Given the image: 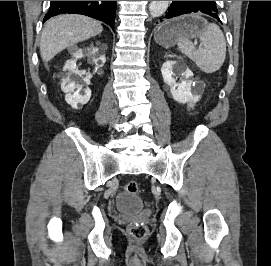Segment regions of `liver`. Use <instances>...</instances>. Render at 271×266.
Segmentation results:
<instances>
[{
    "mask_svg": "<svg viewBox=\"0 0 271 266\" xmlns=\"http://www.w3.org/2000/svg\"><path fill=\"white\" fill-rule=\"evenodd\" d=\"M103 31L102 25L89 17L65 14L52 18L45 25L40 41L44 62L50 61L65 48L87 40Z\"/></svg>",
    "mask_w": 271,
    "mask_h": 266,
    "instance_id": "1",
    "label": "liver"
}]
</instances>
